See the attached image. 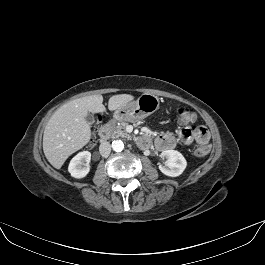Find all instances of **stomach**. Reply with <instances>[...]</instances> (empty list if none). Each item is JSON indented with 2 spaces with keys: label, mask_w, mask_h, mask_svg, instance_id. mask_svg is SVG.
<instances>
[{
  "label": "stomach",
  "mask_w": 265,
  "mask_h": 265,
  "mask_svg": "<svg viewBox=\"0 0 265 265\" xmlns=\"http://www.w3.org/2000/svg\"><path fill=\"white\" fill-rule=\"evenodd\" d=\"M159 105L157 96L144 93L136 101H130L116 109L113 117L119 121L136 122L154 113Z\"/></svg>",
  "instance_id": "1"
}]
</instances>
